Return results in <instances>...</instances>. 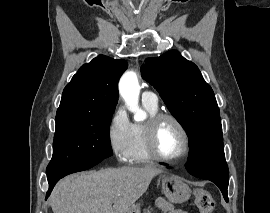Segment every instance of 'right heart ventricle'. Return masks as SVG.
<instances>
[{
	"label": "right heart ventricle",
	"mask_w": 270,
	"mask_h": 213,
	"mask_svg": "<svg viewBox=\"0 0 270 213\" xmlns=\"http://www.w3.org/2000/svg\"><path fill=\"white\" fill-rule=\"evenodd\" d=\"M143 107L149 116L158 113V105L153 106L143 102ZM145 123L135 122L131 124L130 145L128 149L127 161L130 163L141 164L149 163L154 159L150 156L145 143Z\"/></svg>",
	"instance_id": "e07e8e85"
}]
</instances>
